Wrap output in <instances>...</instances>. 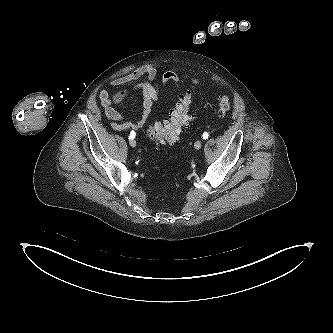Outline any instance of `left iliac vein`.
<instances>
[{
  "instance_id": "4c4485c4",
  "label": "left iliac vein",
  "mask_w": 333,
  "mask_h": 333,
  "mask_svg": "<svg viewBox=\"0 0 333 333\" xmlns=\"http://www.w3.org/2000/svg\"><path fill=\"white\" fill-rule=\"evenodd\" d=\"M195 149H200L201 148V142L200 141H196L194 144Z\"/></svg>"
}]
</instances>
